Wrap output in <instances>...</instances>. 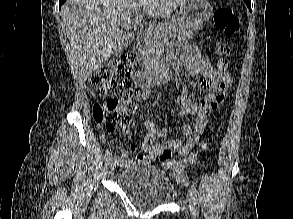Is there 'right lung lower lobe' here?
Here are the masks:
<instances>
[{"mask_svg": "<svg viewBox=\"0 0 293 219\" xmlns=\"http://www.w3.org/2000/svg\"><path fill=\"white\" fill-rule=\"evenodd\" d=\"M65 2V0H59V6L61 7V5Z\"/></svg>", "mask_w": 293, "mask_h": 219, "instance_id": "98d812e1", "label": "right lung lower lobe"}]
</instances>
